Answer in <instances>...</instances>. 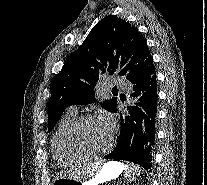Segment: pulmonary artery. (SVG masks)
<instances>
[{
	"instance_id": "e3ab8cb5",
	"label": "pulmonary artery",
	"mask_w": 207,
	"mask_h": 185,
	"mask_svg": "<svg viewBox=\"0 0 207 185\" xmlns=\"http://www.w3.org/2000/svg\"><path fill=\"white\" fill-rule=\"evenodd\" d=\"M111 86H123V81H118L117 77H111Z\"/></svg>"
}]
</instances>
